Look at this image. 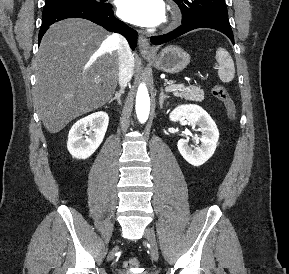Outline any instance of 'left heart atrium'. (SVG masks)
<instances>
[{
	"instance_id": "1",
	"label": "left heart atrium",
	"mask_w": 289,
	"mask_h": 274,
	"mask_svg": "<svg viewBox=\"0 0 289 274\" xmlns=\"http://www.w3.org/2000/svg\"><path fill=\"white\" fill-rule=\"evenodd\" d=\"M117 6L122 19L143 27L160 24L165 15L162 0H118Z\"/></svg>"
}]
</instances>
